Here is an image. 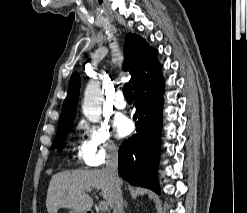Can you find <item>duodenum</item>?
Here are the masks:
<instances>
[{"mask_svg": "<svg viewBox=\"0 0 247 213\" xmlns=\"http://www.w3.org/2000/svg\"><path fill=\"white\" fill-rule=\"evenodd\" d=\"M87 213H95L94 211H88Z\"/></svg>", "mask_w": 247, "mask_h": 213, "instance_id": "1", "label": "duodenum"}]
</instances>
